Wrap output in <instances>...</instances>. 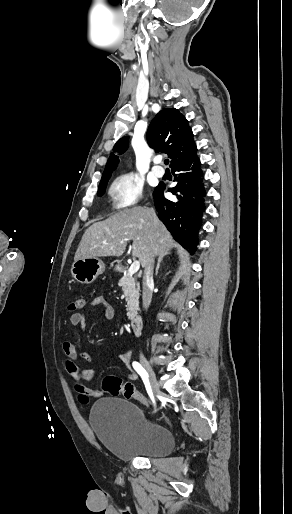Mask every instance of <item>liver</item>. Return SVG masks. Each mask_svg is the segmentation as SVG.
I'll return each mask as SVG.
<instances>
[{
    "label": "liver",
    "mask_w": 292,
    "mask_h": 514,
    "mask_svg": "<svg viewBox=\"0 0 292 514\" xmlns=\"http://www.w3.org/2000/svg\"><path fill=\"white\" fill-rule=\"evenodd\" d=\"M153 214L151 208L138 206L92 224L82 236L74 260L122 256L127 240H133L132 256L139 258L142 268H146L150 258L167 256L174 246L172 236Z\"/></svg>",
    "instance_id": "1"
}]
</instances>
